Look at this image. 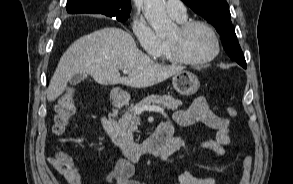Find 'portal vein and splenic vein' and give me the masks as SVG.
<instances>
[{"mask_svg":"<svg viewBox=\"0 0 293 184\" xmlns=\"http://www.w3.org/2000/svg\"><path fill=\"white\" fill-rule=\"evenodd\" d=\"M124 74H129L130 71L127 69L123 70ZM143 111H150V112H158L164 114V109L157 107V106H150V105H145V106H140L136 108V113H142Z\"/></svg>","mask_w":293,"mask_h":184,"instance_id":"portal-vein-and-splenic-vein-1","label":"portal vein and splenic vein"}]
</instances>
